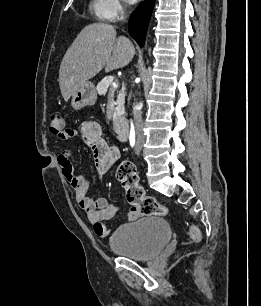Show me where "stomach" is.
<instances>
[{"label": "stomach", "instance_id": "stomach-1", "mask_svg": "<svg viewBox=\"0 0 261 306\" xmlns=\"http://www.w3.org/2000/svg\"><path fill=\"white\" fill-rule=\"evenodd\" d=\"M97 100V93L92 82H85L71 95V106L80 110L86 106H92Z\"/></svg>", "mask_w": 261, "mask_h": 306}]
</instances>
